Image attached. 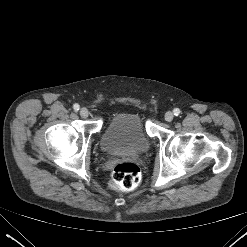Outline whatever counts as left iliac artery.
<instances>
[{
    "instance_id": "obj_1",
    "label": "left iliac artery",
    "mask_w": 247,
    "mask_h": 247,
    "mask_svg": "<svg viewBox=\"0 0 247 247\" xmlns=\"http://www.w3.org/2000/svg\"><path fill=\"white\" fill-rule=\"evenodd\" d=\"M180 109L179 108H175L174 110H173V113H174V115H176V116H178L179 114H180Z\"/></svg>"
}]
</instances>
